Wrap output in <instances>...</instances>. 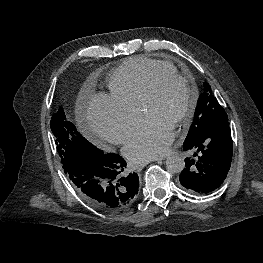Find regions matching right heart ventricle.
Listing matches in <instances>:
<instances>
[{
    "label": "right heart ventricle",
    "mask_w": 263,
    "mask_h": 263,
    "mask_svg": "<svg viewBox=\"0 0 263 263\" xmlns=\"http://www.w3.org/2000/svg\"><path fill=\"white\" fill-rule=\"evenodd\" d=\"M158 71L177 70L173 64L166 61L146 57L130 58L110 74V94L118 101L139 109L143 92Z\"/></svg>",
    "instance_id": "1"
}]
</instances>
